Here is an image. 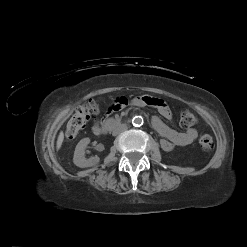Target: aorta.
Returning a JSON list of instances; mask_svg holds the SVG:
<instances>
[{
	"label": "aorta",
	"instance_id": "aorta-1",
	"mask_svg": "<svg viewBox=\"0 0 247 247\" xmlns=\"http://www.w3.org/2000/svg\"><path fill=\"white\" fill-rule=\"evenodd\" d=\"M132 124L136 127H139L141 125H143V118L142 116H139V115H135L133 118H132Z\"/></svg>",
	"mask_w": 247,
	"mask_h": 247
}]
</instances>
